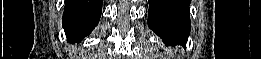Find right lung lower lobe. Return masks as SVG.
Listing matches in <instances>:
<instances>
[{"instance_id":"1","label":"right lung lower lobe","mask_w":261,"mask_h":59,"mask_svg":"<svg viewBox=\"0 0 261 59\" xmlns=\"http://www.w3.org/2000/svg\"><path fill=\"white\" fill-rule=\"evenodd\" d=\"M102 0H66L63 27L68 42H80L98 24Z\"/></svg>"}]
</instances>
